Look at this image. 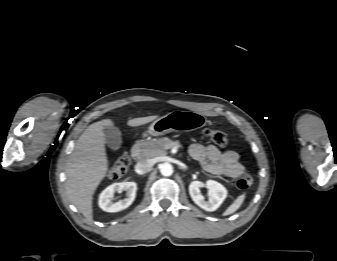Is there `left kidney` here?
Masks as SVG:
<instances>
[{
	"label": "left kidney",
	"instance_id": "left-kidney-1",
	"mask_svg": "<svg viewBox=\"0 0 337 261\" xmlns=\"http://www.w3.org/2000/svg\"><path fill=\"white\" fill-rule=\"evenodd\" d=\"M201 187H203V184L200 181H192L189 185V193L195 204L210 212L218 209L227 196L226 188L214 180H208L205 187L210 194L208 200H205L200 192Z\"/></svg>",
	"mask_w": 337,
	"mask_h": 261
}]
</instances>
